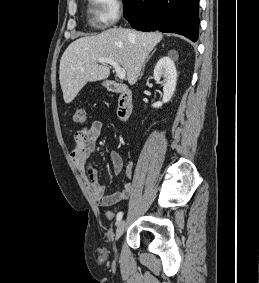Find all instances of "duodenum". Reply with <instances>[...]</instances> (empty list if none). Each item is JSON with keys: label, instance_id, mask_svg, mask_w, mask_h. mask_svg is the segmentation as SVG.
I'll list each match as a JSON object with an SVG mask.
<instances>
[{"label": "duodenum", "instance_id": "1", "mask_svg": "<svg viewBox=\"0 0 259 283\" xmlns=\"http://www.w3.org/2000/svg\"><path fill=\"white\" fill-rule=\"evenodd\" d=\"M107 89L112 93L118 94L117 114L120 119L126 120L133 110L131 90L115 81H109Z\"/></svg>", "mask_w": 259, "mask_h": 283}]
</instances>
